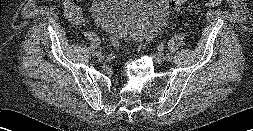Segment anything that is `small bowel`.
<instances>
[{
    "mask_svg": "<svg viewBox=\"0 0 253 131\" xmlns=\"http://www.w3.org/2000/svg\"><path fill=\"white\" fill-rule=\"evenodd\" d=\"M83 0H63L62 8L65 16L76 24L85 23L86 20L82 15L81 9L77 5L79 2Z\"/></svg>",
    "mask_w": 253,
    "mask_h": 131,
    "instance_id": "small-bowel-1",
    "label": "small bowel"
}]
</instances>
